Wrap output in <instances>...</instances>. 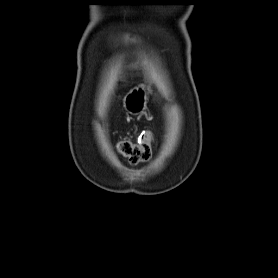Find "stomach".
I'll return each mask as SVG.
<instances>
[{
  "label": "stomach",
  "mask_w": 278,
  "mask_h": 278,
  "mask_svg": "<svg viewBox=\"0 0 278 278\" xmlns=\"http://www.w3.org/2000/svg\"><path fill=\"white\" fill-rule=\"evenodd\" d=\"M148 93L144 85L133 88L127 93L123 100L125 110L132 114L137 115L146 109Z\"/></svg>",
  "instance_id": "1"
}]
</instances>
